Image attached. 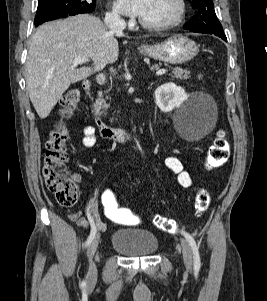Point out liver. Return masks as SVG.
Returning a JSON list of instances; mask_svg holds the SVG:
<instances>
[{
    "instance_id": "liver-1",
    "label": "liver",
    "mask_w": 267,
    "mask_h": 301,
    "mask_svg": "<svg viewBox=\"0 0 267 301\" xmlns=\"http://www.w3.org/2000/svg\"><path fill=\"white\" fill-rule=\"evenodd\" d=\"M120 33H112L93 15L51 21L33 34L26 61L30 100L45 119L69 86L117 61ZM76 56L92 60V67L76 68Z\"/></svg>"
}]
</instances>
